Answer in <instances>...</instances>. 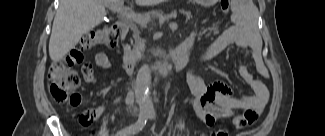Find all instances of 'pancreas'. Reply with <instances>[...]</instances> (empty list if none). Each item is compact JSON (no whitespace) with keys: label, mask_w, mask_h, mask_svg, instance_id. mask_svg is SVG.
Instances as JSON below:
<instances>
[{"label":"pancreas","mask_w":325,"mask_h":136,"mask_svg":"<svg viewBox=\"0 0 325 136\" xmlns=\"http://www.w3.org/2000/svg\"><path fill=\"white\" fill-rule=\"evenodd\" d=\"M168 16H181L180 23L181 24H188L189 19H195L196 13L195 12H189L186 5H174L172 9L167 10ZM133 29V40H140L141 34L140 29L138 27H135L133 24L130 25Z\"/></svg>","instance_id":"pancreas-1"}]
</instances>
